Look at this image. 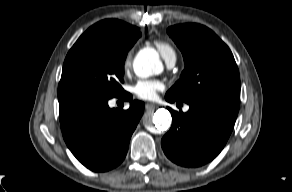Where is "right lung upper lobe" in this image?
Masks as SVG:
<instances>
[{"label": "right lung upper lobe", "instance_id": "cb5924a9", "mask_svg": "<svg viewBox=\"0 0 292 192\" xmlns=\"http://www.w3.org/2000/svg\"><path fill=\"white\" fill-rule=\"evenodd\" d=\"M98 23L105 25L111 35L124 40L131 39L141 34L137 27L117 19H106Z\"/></svg>", "mask_w": 292, "mask_h": 192}]
</instances>
